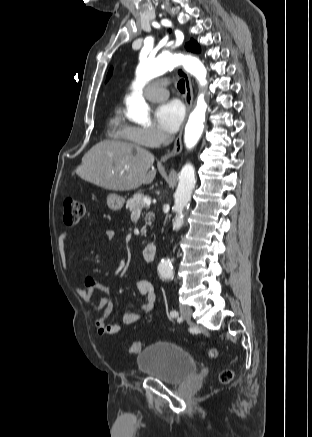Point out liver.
Wrapping results in <instances>:
<instances>
[{
    "instance_id": "6515ba94",
    "label": "liver",
    "mask_w": 312,
    "mask_h": 437,
    "mask_svg": "<svg viewBox=\"0 0 312 437\" xmlns=\"http://www.w3.org/2000/svg\"><path fill=\"white\" fill-rule=\"evenodd\" d=\"M153 163L154 155L139 145L104 140L83 156L76 174L108 190L128 191L154 180Z\"/></svg>"
}]
</instances>
